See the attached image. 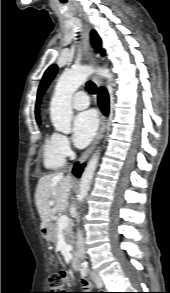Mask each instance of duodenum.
Instances as JSON below:
<instances>
[{"mask_svg": "<svg viewBox=\"0 0 170 293\" xmlns=\"http://www.w3.org/2000/svg\"><path fill=\"white\" fill-rule=\"evenodd\" d=\"M41 233L43 236H47L48 235V228L47 227H42L41 229ZM72 266L75 270L79 269V258L78 256L75 254L73 259H72Z\"/></svg>", "mask_w": 170, "mask_h": 293, "instance_id": "duodenum-1", "label": "duodenum"}]
</instances>
